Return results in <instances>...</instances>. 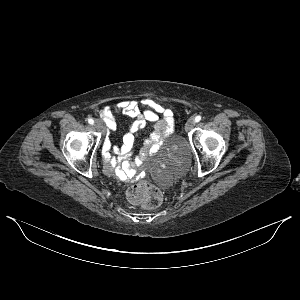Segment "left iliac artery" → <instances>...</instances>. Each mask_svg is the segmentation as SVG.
<instances>
[{"mask_svg": "<svg viewBox=\"0 0 300 300\" xmlns=\"http://www.w3.org/2000/svg\"><path fill=\"white\" fill-rule=\"evenodd\" d=\"M200 120H201V116L200 115H198V116L195 117V122H199Z\"/></svg>", "mask_w": 300, "mask_h": 300, "instance_id": "44dca946", "label": "left iliac artery"}]
</instances>
